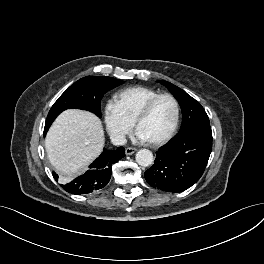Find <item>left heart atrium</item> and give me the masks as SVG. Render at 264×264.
I'll return each instance as SVG.
<instances>
[{
	"label": "left heart atrium",
	"mask_w": 264,
	"mask_h": 264,
	"mask_svg": "<svg viewBox=\"0 0 264 264\" xmlns=\"http://www.w3.org/2000/svg\"><path fill=\"white\" fill-rule=\"evenodd\" d=\"M135 138L139 141H148V139L146 138V136L139 130L136 131L135 133Z\"/></svg>",
	"instance_id": "left-heart-atrium-1"
}]
</instances>
